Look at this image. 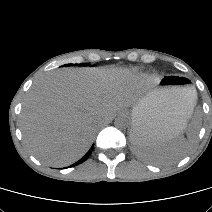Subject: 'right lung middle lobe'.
<instances>
[{
	"instance_id": "dd1d6c3e",
	"label": "right lung middle lobe",
	"mask_w": 212,
	"mask_h": 212,
	"mask_svg": "<svg viewBox=\"0 0 212 212\" xmlns=\"http://www.w3.org/2000/svg\"><path fill=\"white\" fill-rule=\"evenodd\" d=\"M73 64H66V65H63V66H71ZM81 65H86V64H81Z\"/></svg>"
}]
</instances>
